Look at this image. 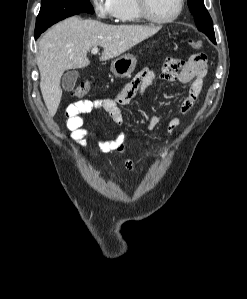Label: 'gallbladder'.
Segmentation results:
<instances>
[{
  "instance_id": "obj_1",
  "label": "gallbladder",
  "mask_w": 247,
  "mask_h": 299,
  "mask_svg": "<svg viewBox=\"0 0 247 299\" xmlns=\"http://www.w3.org/2000/svg\"><path fill=\"white\" fill-rule=\"evenodd\" d=\"M79 73L75 70L67 71L62 78V87L65 91H72L75 87Z\"/></svg>"
}]
</instances>
